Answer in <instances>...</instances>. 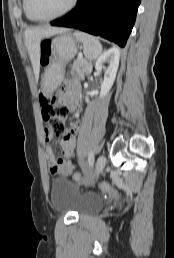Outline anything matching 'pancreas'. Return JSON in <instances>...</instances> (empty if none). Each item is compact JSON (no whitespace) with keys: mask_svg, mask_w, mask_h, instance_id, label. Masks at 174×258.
I'll use <instances>...</instances> for the list:
<instances>
[{"mask_svg":"<svg viewBox=\"0 0 174 258\" xmlns=\"http://www.w3.org/2000/svg\"><path fill=\"white\" fill-rule=\"evenodd\" d=\"M91 69L92 65L83 58H78L72 66V72L78 77H83L84 74H89Z\"/></svg>","mask_w":174,"mask_h":258,"instance_id":"1","label":"pancreas"}]
</instances>
